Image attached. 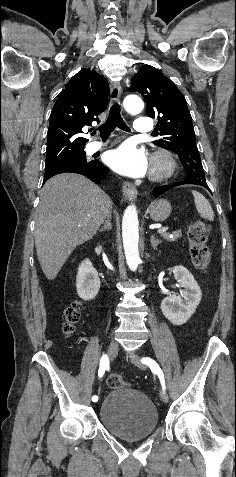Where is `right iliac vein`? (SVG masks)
I'll use <instances>...</instances> for the list:
<instances>
[{
  "label": "right iliac vein",
  "mask_w": 236,
  "mask_h": 477,
  "mask_svg": "<svg viewBox=\"0 0 236 477\" xmlns=\"http://www.w3.org/2000/svg\"><path fill=\"white\" fill-rule=\"evenodd\" d=\"M117 352H118V344L115 340H112L109 344V347H108V356H109L110 360H113L116 357ZM100 389H103V386L99 384V385H97V387L95 389V392H96L97 396H99ZM99 399L102 400V398H100V396H99Z\"/></svg>",
  "instance_id": "obj_1"
}]
</instances>
